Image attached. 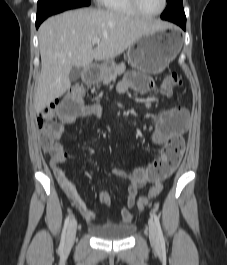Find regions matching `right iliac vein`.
Wrapping results in <instances>:
<instances>
[{
	"label": "right iliac vein",
	"mask_w": 227,
	"mask_h": 265,
	"mask_svg": "<svg viewBox=\"0 0 227 265\" xmlns=\"http://www.w3.org/2000/svg\"><path fill=\"white\" fill-rule=\"evenodd\" d=\"M77 231V220L73 218L68 226L67 235H66V241H65V247L69 248L73 245L75 236Z\"/></svg>",
	"instance_id": "63e3f726"
}]
</instances>
